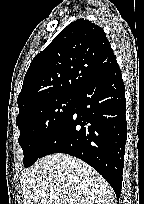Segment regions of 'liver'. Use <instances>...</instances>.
<instances>
[{
  "instance_id": "liver-1",
  "label": "liver",
  "mask_w": 144,
  "mask_h": 204,
  "mask_svg": "<svg viewBox=\"0 0 144 204\" xmlns=\"http://www.w3.org/2000/svg\"><path fill=\"white\" fill-rule=\"evenodd\" d=\"M21 185L23 204H112L114 199L112 187L99 173L64 153L37 161L22 174Z\"/></svg>"
}]
</instances>
